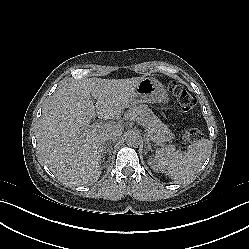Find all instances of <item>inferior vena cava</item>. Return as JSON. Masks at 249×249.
I'll return each instance as SVG.
<instances>
[{
    "instance_id": "1",
    "label": "inferior vena cava",
    "mask_w": 249,
    "mask_h": 249,
    "mask_svg": "<svg viewBox=\"0 0 249 249\" xmlns=\"http://www.w3.org/2000/svg\"><path fill=\"white\" fill-rule=\"evenodd\" d=\"M119 136H120L119 132L113 131V132L105 134L103 136V140H104V142H106V141H115V140L118 139Z\"/></svg>"
}]
</instances>
